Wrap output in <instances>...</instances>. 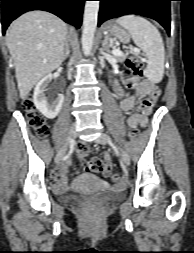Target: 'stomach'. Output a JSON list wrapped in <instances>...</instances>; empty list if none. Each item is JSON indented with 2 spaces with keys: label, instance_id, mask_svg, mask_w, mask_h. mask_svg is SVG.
I'll list each match as a JSON object with an SVG mask.
<instances>
[{
  "label": "stomach",
  "instance_id": "stomach-1",
  "mask_svg": "<svg viewBox=\"0 0 194 253\" xmlns=\"http://www.w3.org/2000/svg\"><path fill=\"white\" fill-rule=\"evenodd\" d=\"M105 31L110 36H113L115 39H117L121 43L127 44L130 41V34L125 29H123L122 27L116 24H108L105 27Z\"/></svg>",
  "mask_w": 194,
  "mask_h": 253
}]
</instances>
